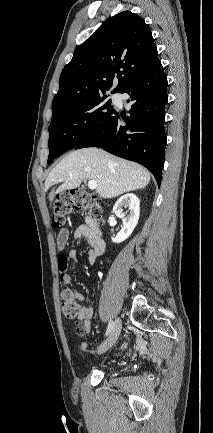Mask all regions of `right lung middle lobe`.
<instances>
[{
  "label": "right lung middle lobe",
  "instance_id": "right-lung-middle-lobe-1",
  "mask_svg": "<svg viewBox=\"0 0 213 433\" xmlns=\"http://www.w3.org/2000/svg\"><path fill=\"white\" fill-rule=\"evenodd\" d=\"M106 95L67 106L52 116L49 130L48 164L104 128L115 110Z\"/></svg>",
  "mask_w": 213,
  "mask_h": 433
}]
</instances>
